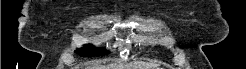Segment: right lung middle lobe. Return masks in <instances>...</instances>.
I'll use <instances>...</instances> for the list:
<instances>
[{"instance_id": "obj_1", "label": "right lung middle lobe", "mask_w": 246, "mask_h": 69, "mask_svg": "<svg viewBox=\"0 0 246 69\" xmlns=\"http://www.w3.org/2000/svg\"><path fill=\"white\" fill-rule=\"evenodd\" d=\"M76 53L83 56H100L108 54V51H106L105 49L93 47L92 45H87L83 48L77 49Z\"/></svg>"}]
</instances>
